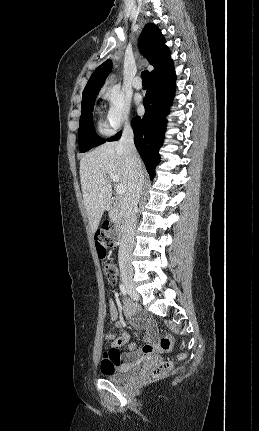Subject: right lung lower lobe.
<instances>
[{
    "mask_svg": "<svg viewBox=\"0 0 259 431\" xmlns=\"http://www.w3.org/2000/svg\"><path fill=\"white\" fill-rule=\"evenodd\" d=\"M175 80L174 66L152 76L143 103L145 115L143 117L136 116L132 120L135 146L143 159L151 180L155 175V167L160 161L158 151L164 140L166 116L169 113L175 92ZM120 137L121 132H118L108 141H116Z\"/></svg>",
    "mask_w": 259,
    "mask_h": 431,
    "instance_id": "obj_1",
    "label": "right lung lower lobe"
}]
</instances>
